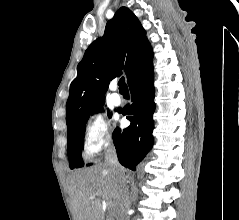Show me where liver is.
<instances>
[{
  "label": "liver",
  "mask_w": 239,
  "mask_h": 220,
  "mask_svg": "<svg viewBox=\"0 0 239 220\" xmlns=\"http://www.w3.org/2000/svg\"><path fill=\"white\" fill-rule=\"evenodd\" d=\"M125 176V169H123ZM76 220H104L103 201L120 214L121 193L114 171L105 163L74 173L69 179Z\"/></svg>",
  "instance_id": "liver-1"
}]
</instances>
